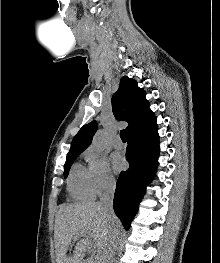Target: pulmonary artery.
<instances>
[{
	"mask_svg": "<svg viewBox=\"0 0 220 263\" xmlns=\"http://www.w3.org/2000/svg\"><path fill=\"white\" fill-rule=\"evenodd\" d=\"M114 147L115 148H122L123 147V142L121 141V139L119 137H117L114 141Z\"/></svg>",
	"mask_w": 220,
	"mask_h": 263,
	"instance_id": "1",
	"label": "pulmonary artery"
}]
</instances>
